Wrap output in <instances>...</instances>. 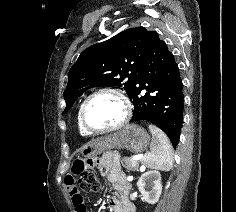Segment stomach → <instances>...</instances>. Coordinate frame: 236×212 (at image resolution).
Masks as SVG:
<instances>
[{
	"instance_id": "0dacf381",
	"label": "stomach",
	"mask_w": 236,
	"mask_h": 212,
	"mask_svg": "<svg viewBox=\"0 0 236 212\" xmlns=\"http://www.w3.org/2000/svg\"><path fill=\"white\" fill-rule=\"evenodd\" d=\"M150 143V136L142 127L130 124L118 132L104 136L84 145L80 151L85 158H94L104 151L127 149L132 152H143Z\"/></svg>"
}]
</instances>
